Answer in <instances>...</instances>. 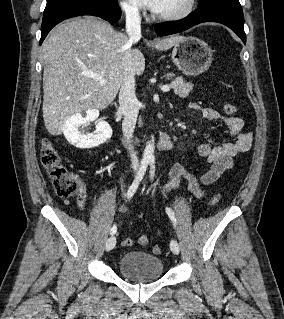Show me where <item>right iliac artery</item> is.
Masks as SVG:
<instances>
[{
	"label": "right iliac artery",
	"mask_w": 284,
	"mask_h": 319,
	"mask_svg": "<svg viewBox=\"0 0 284 319\" xmlns=\"http://www.w3.org/2000/svg\"><path fill=\"white\" fill-rule=\"evenodd\" d=\"M148 164H149V160L148 159H143L142 162H141V166L139 168V172H138V175L136 176L135 180L133 181V183L131 184V186L129 187L128 191H127V198L130 199L134 193L136 192L146 170H147V167H148ZM117 231V226L116 225H113L110 229V234L113 235L115 234Z\"/></svg>",
	"instance_id": "1"
}]
</instances>
